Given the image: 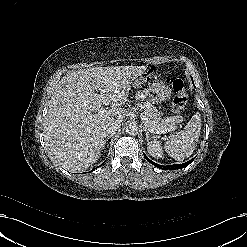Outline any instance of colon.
I'll list each match as a JSON object with an SVG mask.
<instances>
[{"label": "colon", "mask_w": 247, "mask_h": 247, "mask_svg": "<svg viewBox=\"0 0 247 247\" xmlns=\"http://www.w3.org/2000/svg\"><path fill=\"white\" fill-rule=\"evenodd\" d=\"M166 82L171 86L174 94L172 110L174 113H179L185 107L187 102V92L184 82L177 77L167 78Z\"/></svg>", "instance_id": "1"}]
</instances>
